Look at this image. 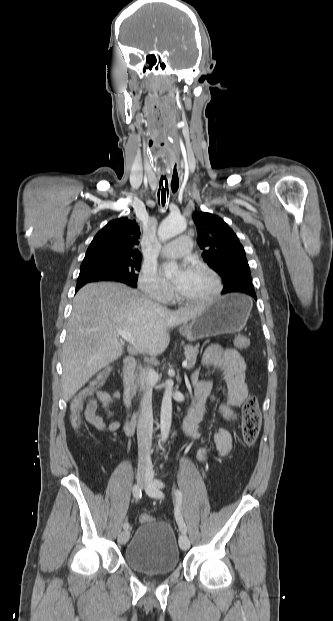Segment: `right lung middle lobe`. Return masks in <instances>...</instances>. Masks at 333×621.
Here are the masks:
<instances>
[{"mask_svg":"<svg viewBox=\"0 0 333 621\" xmlns=\"http://www.w3.org/2000/svg\"><path fill=\"white\" fill-rule=\"evenodd\" d=\"M141 258L83 260L77 282L118 281L136 287Z\"/></svg>","mask_w":333,"mask_h":621,"instance_id":"obj_1","label":"right lung middle lobe"}]
</instances>
